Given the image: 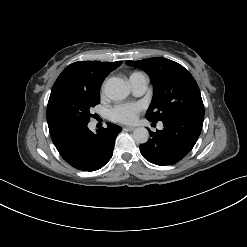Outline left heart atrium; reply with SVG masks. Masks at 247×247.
<instances>
[{"label":"left heart atrium","instance_id":"left-heart-atrium-1","mask_svg":"<svg viewBox=\"0 0 247 247\" xmlns=\"http://www.w3.org/2000/svg\"><path fill=\"white\" fill-rule=\"evenodd\" d=\"M141 108L140 104H120L111 110V118L118 122L130 123L136 119Z\"/></svg>","mask_w":247,"mask_h":247}]
</instances>
